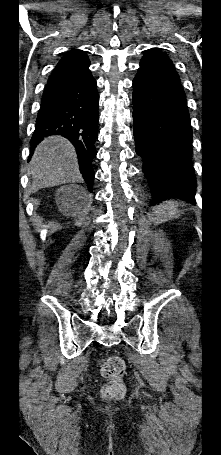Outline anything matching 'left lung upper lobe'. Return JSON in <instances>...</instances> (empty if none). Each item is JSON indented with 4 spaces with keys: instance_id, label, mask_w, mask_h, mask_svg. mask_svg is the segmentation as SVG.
I'll return each instance as SVG.
<instances>
[{
    "instance_id": "5c2ea615",
    "label": "left lung upper lobe",
    "mask_w": 221,
    "mask_h": 455,
    "mask_svg": "<svg viewBox=\"0 0 221 455\" xmlns=\"http://www.w3.org/2000/svg\"><path fill=\"white\" fill-rule=\"evenodd\" d=\"M140 65L150 68L159 67L167 71H170L172 74L179 77L176 71L174 70L172 62L169 59V57L165 53L159 51L158 49L147 50L143 58L141 59Z\"/></svg>"
}]
</instances>
